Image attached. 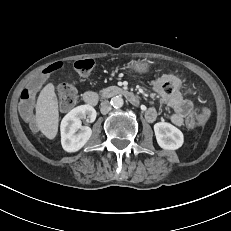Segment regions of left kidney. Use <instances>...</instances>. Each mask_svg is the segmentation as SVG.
<instances>
[{
    "instance_id": "left-kidney-1",
    "label": "left kidney",
    "mask_w": 231,
    "mask_h": 231,
    "mask_svg": "<svg viewBox=\"0 0 231 231\" xmlns=\"http://www.w3.org/2000/svg\"><path fill=\"white\" fill-rule=\"evenodd\" d=\"M154 132L158 145L165 150H177L183 145V133L170 123H156Z\"/></svg>"
}]
</instances>
